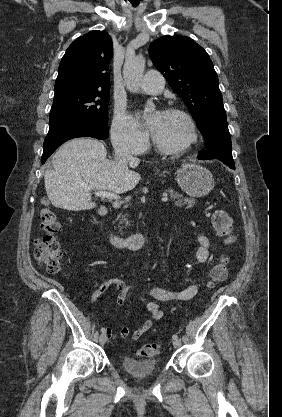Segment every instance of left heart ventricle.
<instances>
[{
	"label": "left heart ventricle",
	"mask_w": 282,
	"mask_h": 417,
	"mask_svg": "<svg viewBox=\"0 0 282 417\" xmlns=\"http://www.w3.org/2000/svg\"><path fill=\"white\" fill-rule=\"evenodd\" d=\"M154 134L164 144L177 145L186 140L188 129L181 117L162 113L159 114L158 125Z\"/></svg>",
	"instance_id": "left-heart-ventricle-1"
}]
</instances>
